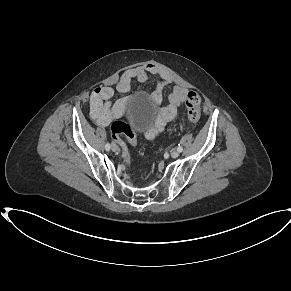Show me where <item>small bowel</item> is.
Instances as JSON below:
<instances>
[{"instance_id": "c3829d8e", "label": "small bowel", "mask_w": 291, "mask_h": 291, "mask_svg": "<svg viewBox=\"0 0 291 291\" xmlns=\"http://www.w3.org/2000/svg\"><path fill=\"white\" fill-rule=\"evenodd\" d=\"M150 75L158 77L156 90L151 96L152 102L157 106V111L152 126L146 130L144 136L148 140L158 136L168 122L176 119L187 98L188 91L183 87H174L168 96V103L165 106H160L163 90L171 84L172 78L167 71L162 70L153 63L126 70L116 88L100 86L92 91L90 113L96 124L106 127L124 115L129 99H121L112 103L111 99L115 94V90L122 93L127 92L133 80L144 83L148 81Z\"/></svg>"}]
</instances>
